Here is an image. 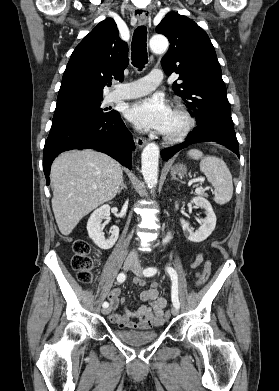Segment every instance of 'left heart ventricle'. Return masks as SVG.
<instances>
[{
  "label": "left heart ventricle",
  "instance_id": "1",
  "mask_svg": "<svg viewBox=\"0 0 279 391\" xmlns=\"http://www.w3.org/2000/svg\"><path fill=\"white\" fill-rule=\"evenodd\" d=\"M183 125H184L183 119L179 115L171 111L164 133L165 134L176 133L183 127Z\"/></svg>",
  "mask_w": 279,
  "mask_h": 391
}]
</instances>
